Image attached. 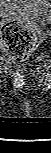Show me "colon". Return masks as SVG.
<instances>
[{
    "mask_svg": "<svg viewBox=\"0 0 51 153\" xmlns=\"http://www.w3.org/2000/svg\"><path fill=\"white\" fill-rule=\"evenodd\" d=\"M36 45L35 33L19 21H10L3 26L2 46L6 56L19 62L27 58Z\"/></svg>",
    "mask_w": 51,
    "mask_h": 153,
    "instance_id": "colon-1",
    "label": "colon"
}]
</instances>
